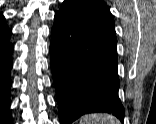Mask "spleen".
I'll return each instance as SVG.
<instances>
[{
	"instance_id": "1",
	"label": "spleen",
	"mask_w": 156,
	"mask_h": 124,
	"mask_svg": "<svg viewBox=\"0 0 156 124\" xmlns=\"http://www.w3.org/2000/svg\"><path fill=\"white\" fill-rule=\"evenodd\" d=\"M79 124H120L119 121L109 114H89L80 119Z\"/></svg>"
}]
</instances>
